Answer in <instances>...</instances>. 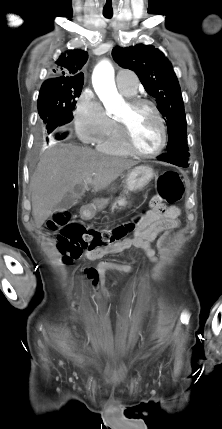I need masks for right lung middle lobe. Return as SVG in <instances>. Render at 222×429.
<instances>
[{"label":"right lung middle lobe","mask_w":222,"mask_h":429,"mask_svg":"<svg viewBox=\"0 0 222 429\" xmlns=\"http://www.w3.org/2000/svg\"><path fill=\"white\" fill-rule=\"evenodd\" d=\"M83 84L42 85L38 96V112L47 134L64 130L73 119L72 111Z\"/></svg>","instance_id":"dd1d6c3e"}]
</instances>
